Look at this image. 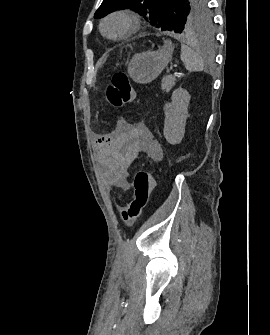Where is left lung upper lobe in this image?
Wrapping results in <instances>:
<instances>
[{
	"label": "left lung upper lobe",
	"mask_w": 270,
	"mask_h": 335,
	"mask_svg": "<svg viewBox=\"0 0 270 335\" xmlns=\"http://www.w3.org/2000/svg\"><path fill=\"white\" fill-rule=\"evenodd\" d=\"M120 9H131L143 15L162 31L190 34L212 27L208 0H103L94 18Z\"/></svg>",
	"instance_id": "5c2ea615"
}]
</instances>
